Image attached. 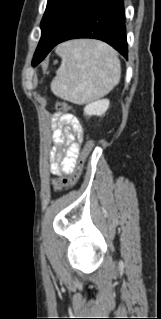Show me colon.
I'll return each mask as SVG.
<instances>
[{
	"instance_id": "colon-1",
	"label": "colon",
	"mask_w": 161,
	"mask_h": 319,
	"mask_svg": "<svg viewBox=\"0 0 161 319\" xmlns=\"http://www.w3.org/2000/svg\"><path fill=\"white\" fill-rule=\"evenodd\" d=\"M57 106L59 109H61L63 111H70L71 110V107L66 103H58ZM93 147H94V141L88 140L86 142L83 150H82L80 158H79L73 172L66 177L55 178L52 181V185H53L54 189L63 190V189L71 187L72 185H74L77 182V180L79 179V177L82 174L85 158H86L87 154L89 153V151Z\"/></svg>"
}]
</instances>
